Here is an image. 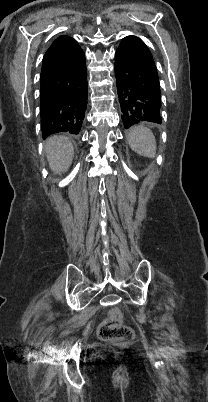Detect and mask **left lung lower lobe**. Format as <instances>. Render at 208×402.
Wrapping results in <instances>:
<instances>
[{
	"label": "left lung lower lobe",
	"instance_id": "0a47b994",
	"mask_svg": "<svg viewBox=\"0 0 208 402\" xmlns=\"http://www.w3.org/2000/svg\"><path fill=\"white\" fill-rule=\"evenodd\" d=\"M115 77L124 127L161 118L160 84L152 54L136 36L123 38L115 54Z\"/></svg>",
	"mask_w": 208,
	"mask_h": 402
}]
</instances>
